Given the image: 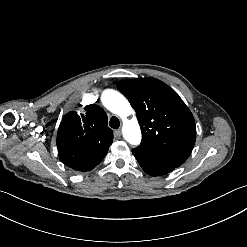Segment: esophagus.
Returning <instances> with one entry per match:
<instances>
[{
	"instance_id": "obj_1",
	"label": "esophagus",
	"mask_w": 247,
	"mask_h": 247,
	"mask_svg": "<svg viewBox=\"0 0 247 247\" xmlns=\"http://www.w3.org/2000/svg\"><path fill=\"white\" fill-rule=\"evenodd\" d=\"M121 136V131L120 130H115L114 131V137L118 139Z\"/></svg>"
}]
</instances>
